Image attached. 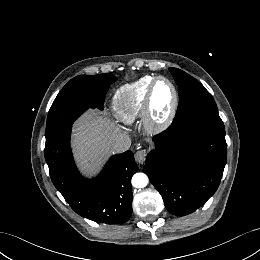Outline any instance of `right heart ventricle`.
<instances>
[{"mask_svg":"<svg viewBox=\"0 0 260 260\" xmlns=\"http://www.w3.org/2000/svg\"><path fill=\"white\" fill-rule=\"evenodd\" d=\"M155 78L144 76L115 91L112 104L120 121L130 124L142 116L147 91Z\"/></svg>","mask_w":260,"mask_h":260,"instance_id":"right-heart-ventricle-1","label":"right heart ventricle"}]
</instances>
